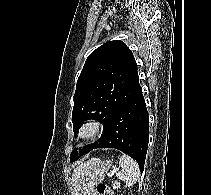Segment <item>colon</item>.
Returning a JSON list of instances; mask_svg holds the SVG:
<instances>
[{
	"instance_id": "colon-1",
	"label": "colon",
	"mask_w": 211,
	"mask_h": 195,
	"mask_svg": "<svg viewBox=\"0 0 211 195\" xmlns=\"http://www.w3.org/2000/svg\"><path fill=\"white\" fill-rule=\"evenodd\" d=\"M95 190L98 195H114L112 190L103 182L97 183Z\"/></svg>"
}]
</instances>
